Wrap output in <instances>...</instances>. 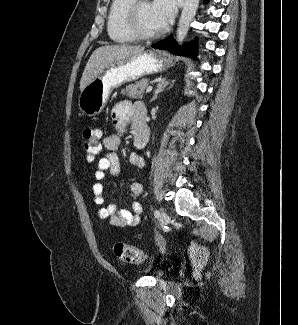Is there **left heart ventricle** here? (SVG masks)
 <instances>
[{"instance_id": "b2bd125f", "label": "left heart ventricle", "mask_w": 298, "mask_h": 325, "mask_svg": "<svg viewBox=\"0 0 298 325\" xmlns=\"http://www.w3.org/2000/svg\"><path fill=\"white\" fill-rule=\"evenodd\" d=\"M135 21L142 33L151 34L162 31L155 10V2H143L136 10Z\"/></svg>"}]
</instances>
